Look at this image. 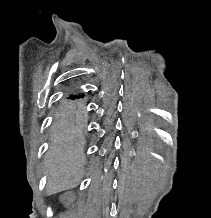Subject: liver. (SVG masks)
I'll return each instance as SVG.
<instances>
[{"mask_svg": "<svg viewBox=\"0 0 211 218\" xmlns=\"http://www.w3.org/2000/svg\"><path fill=\"white\" fill-rule=\"evenodd\" d=\"M51 140L50 160L46 166L50 176L47 184L49 196L78 186L85 162L84 140L76 124L64 120L59 132H53Z\"/></svg>", "mask_w": 211, "mask_h": 218, "instance_id": "liver-1", "label": "liver"}]
</instances>
